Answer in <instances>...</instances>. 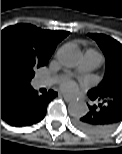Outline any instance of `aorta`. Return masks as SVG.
Returning a JSON list of instances; mask_svg holds the SVG:
<instances>
[{
	"label": "aorta",
	"instance_id": "1",
	"mask_svg": "<svg viewBox=\"0 0 122 154\" xmlns=\"http://www.w3.org/2000/svg\"><path fill=\"white\" fill-rule=\"evenodd\" d=\"M58 60L65 67H75L81 59V52L76 46L68 45L58 51ZM71 116L80 117L88 112V106L84 101L74 100L68 105Z\"/></svg>",
	"mask_w": 122,
	"mask_h": 154
}]
</instances>
